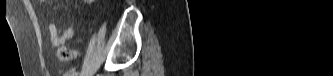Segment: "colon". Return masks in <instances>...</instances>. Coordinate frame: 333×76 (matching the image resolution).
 <instances>
[{"instance_id":"colon-1","label":"colon","mask_w":333,"mask_h":76,"mask_svg":"<svg viewBox=\"0 0 333 76\" xmlns=\"http://www.w3.org/2000/svg\"><path fill=\"white\" fill-rule=\"evenodd\" d=\"M58 58L61 61H70L72 60L74 53L71 49L66 48V47H61L58 49Z\"/></svg>"}]
</instances>
